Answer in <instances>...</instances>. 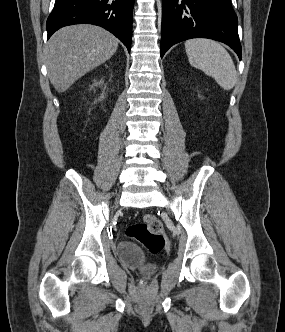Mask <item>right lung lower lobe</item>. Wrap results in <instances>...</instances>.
<instances>
[{"mask_svg":"<svg viewBox=\"0 0 285 332\" xmlns=\"http://www.w3.org/2000/svg\"><path fill=\"white\" fill-rule=\"evenodd\" d=\"M134 0H56L47 19L48 39L58 29L79 23L101 26L130 52Z\"/></svg>","mask_w":285,"mask_h":332,"instance_id":"obj_1","label":"right lung lower lobe"}]
</instances>
